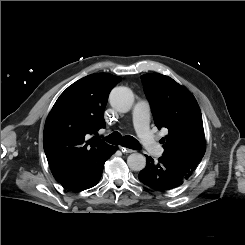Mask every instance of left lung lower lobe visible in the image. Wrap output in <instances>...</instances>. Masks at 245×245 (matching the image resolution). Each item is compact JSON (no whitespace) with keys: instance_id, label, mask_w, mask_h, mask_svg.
Instances as JSON below:
<instances>
[{"instance_id":"1","label":"left lung lower lobe","mask_w":245,"mask_h":245,"mask_svg":"<svg viewBox=\"0 0 245 245\" xmlns=\"http://www.w3.org/2000/svg\"><path fill=\"white\" fill-rule=\"evenodd\" d=\"M147 157L146 167L138 174V179L145 185L158 190L168 191L181 186L194 170L167 157H160L157 162Z\"/></svg>"}]
</instances>
